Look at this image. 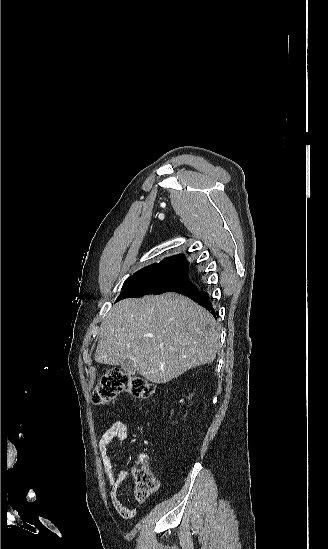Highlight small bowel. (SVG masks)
Instances as JSON below:
<instances>
[{"instance_id": "obj_1", "label": "small bowel", "mask_w": 328, "mask_h": 549, "mask_svg": "<svg viewBox=\"0 0 328 549\" xmlns=\"http://www.w3.org/2000/svg\"><path fill=\"white\" fill-rule=\"evenodd\" d=\"M128 436V425L121 420H114L108 425L98 444L104 472L111 487L110 498L112 505L114 509L125 518H129L128 514H133V511L122 503L119 497V492L123 483L128 478L129 472L127 470H122L116 477L114 476L111 445L114 442L123 441ZM138 464L143 465L150 472L153 479V487L151 491V493H153L158 487V482L153 477V472L156 470L155 465L147 453H141L138 456Z\"/></svg>"}]
</instances>
